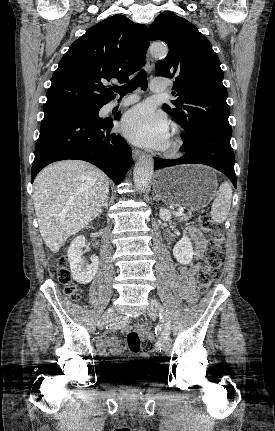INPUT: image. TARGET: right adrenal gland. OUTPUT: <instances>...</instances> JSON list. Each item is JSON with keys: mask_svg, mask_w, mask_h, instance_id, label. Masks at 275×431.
<instances>
[{"mask_svg": "<svg viewBox=\"0 0 275 431\" xmlns=\"http://www.w3.org/2000/svg\"><path fill=\"white\" fill-rule=\"evenodd\" d=\"M108 201H109V197L106 198L105 203L103 204V207L107 208L108 206ZM103 212V210H101V213Z\"/></svg>", "mask_w": 275, "mask_h": 431, "instance_id": "obj_1", "label": "right adrenal gland"}]
</instances>
